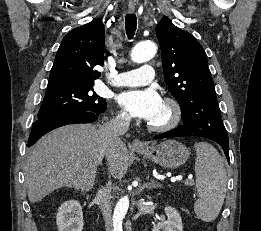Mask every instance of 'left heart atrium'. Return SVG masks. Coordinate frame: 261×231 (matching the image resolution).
<instances>
[{
    "instance_id": "39dd6f15",
    "label": "left heart atrium",
    "mask_w": 261,
    "mask_h": 231,
    "mask_svg": "<svg viewBox=\"0 0 261 231\" xmlns=\"http://www.w3.org/2000/svg\"><path fill=\"white\" fill-rule=\"evenodd\" d=\"M118 101L131 115L149 122L162 105L159 94L151 88L123 92Z\"/></svg>"
}]
</instances>
